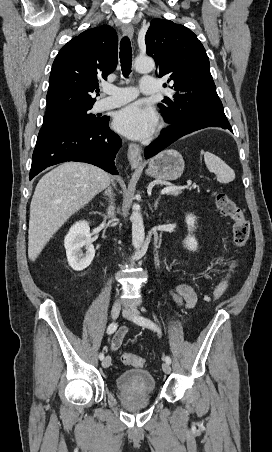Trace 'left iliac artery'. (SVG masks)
<instances>
[{"instance_id":"44dca946","label":"left iliac artery","mask_w":272,"mask_h":452,"mask_svg":"<svg viewBox=\"0 0 272 452\" xmlns=\"http://www.w3.org/2000/svg\"><path fill=\"white\" fill-rule=\"evenodd\" d=\"M134 322H136L137 324L141 325V326H145L148 327L152 330L157 331L159 334H161V330L156 326V324H154L150 319L142 317V316H136L134 318ZM165 361L169 364H171V358L169 356L165 357Z\"/></svg>"}]
</instances>
